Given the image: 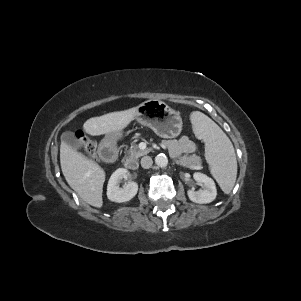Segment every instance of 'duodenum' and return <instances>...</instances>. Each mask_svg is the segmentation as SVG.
<instances>
[{
    "mask_svg": "<svg viewBox=\"0 0 301 301\" xmlns=\"http://www.w3.org/2000/svg\"><path fill=\"white\" fill-rule=\"evenodd\" d=\"M97 156L101 162L108 163L111 166H116L121 161L118 148L112 140H104L100 143ZM124 165L129 170H135L137 168L136 161L132 159L125 160Z\"/></svg>",
    "mask_w": 301,
    "mask_h": 301,
    "instance_id": "1",
    "label": "duodenum"
}]
</instances>
